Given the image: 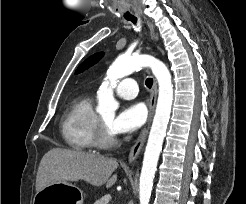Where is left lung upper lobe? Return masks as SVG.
<instances>
[{
  "label": "left lung upper lobe",
  "mask_w": 246,
  "mask_h": 204,
  "mask_svg": "<svg viewBox=\"0 0 246 204\" xmlns=\"http://www.w3.org/2000/svg\"><path fill=\"white\" fill-rule=\"evenodd\" d=\"M104 55L103 52L96 53L92 56H90L88 59H86L76 70V74L83 72L84 70L88 69L89 67L93 66L95 63H97L102 56Z\"/></svg>",
  "instance_id": "5c2ea615"
}]
</instances>
